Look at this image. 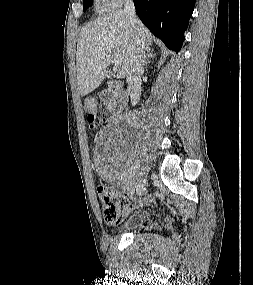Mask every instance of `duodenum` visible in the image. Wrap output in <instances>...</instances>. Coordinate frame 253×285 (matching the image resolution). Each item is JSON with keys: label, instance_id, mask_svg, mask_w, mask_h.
<instances>
[{"label": "duodenum", "instance_id": "duodenum-1", "mask_svg": "<svg viewBox=\"0 0 253 285\" xmlns=\"http://www.w3.org/2000/svg\"><path fill=\"white\" fill-rule=\"evenodd\" d=\"M103 100L107 104L106 115L108 118H114L125 105V99L117 93V87L113 83H109Z\"/></svg>", "mask_w": 253, "mask_h": 285}]
</instances>
